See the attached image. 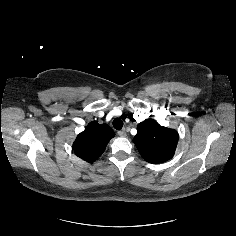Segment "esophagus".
Instances as JSON below:
<instances>
[{"label": "esophagus", "mask_w": 236, "mask_h": 236, "mask_svg": "<svg viewBox=\"0 0 236 236\" xmlns=\"http://www.w3.org/2000/svg\"><path fill=\"white\" fill-rule=\"evenodd\" d=\"M118 135H119L120 137H126V136H127V133H126L125 130H120V131H118Z\"/></svg>", "instance_id": "esophagus-1"}]
</instances>
